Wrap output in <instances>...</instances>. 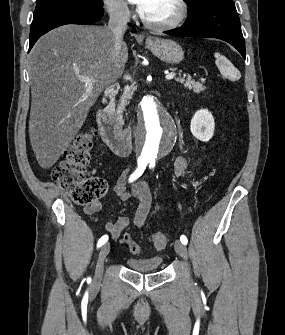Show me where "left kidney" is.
I'll return each instance as SVG.
<instances>
[{
	"instance_id": "1",
	"label": "left kidney",
	"mask_w": 285,
	"mask_h": 335,
	"mask_svg": "<svg viewBox=\"0 0 285 335\" xmlns=\"http://www.w3.org/2000/svg\"><path fill=\"white\" fill-rule=\"evenodd\" d=\"M215 122L211 112L198 110L191 120V132L197 140L209 142L214 134Z\"/></svg>"
}]
</instances>
